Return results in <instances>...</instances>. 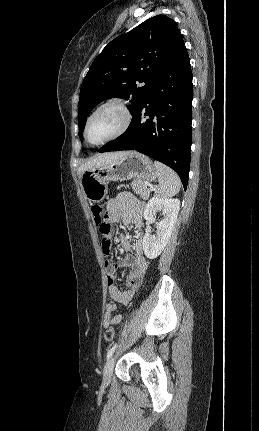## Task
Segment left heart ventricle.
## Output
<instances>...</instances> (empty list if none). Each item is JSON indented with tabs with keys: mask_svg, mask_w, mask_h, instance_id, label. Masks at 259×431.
Listing matches in <instances>:
<instances>
[{
	"mask_svg": "<svg viewBox=\"0 0 259 431\" xmlns=\"http://www.w3.org/2000/svg\"><path fill=\"white\" fill-rule=\"evenodd\" d=\"M121 111L110 106L101 110L90 122L88 138L92 143H98L114 134L122 124Z\"/></svg>",
	"mask_w": 259,
	"mask_h": 431,
	"instance_id": "b2bd125f",
	"label": "left heart ventricle"
}]
</instances>
